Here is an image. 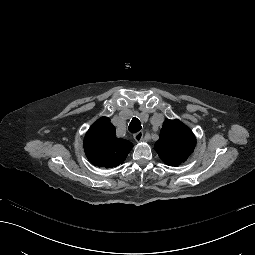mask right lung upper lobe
<instances>
[{
    "label": "right lung upper lobe",
    "instance_id": "1",
    "mask_svg": "<svg viewBox=\"0 0 255 255\" xmlns=\"http://www.w3.org/2000/svg\"><path fill=\"white\" fill-rule=\"evenodd\" d=\"M132 147L130 141L116 136V129L107 117L98 119L84 139L86 156L98 167L118 166L126 159Z\"/></svg>",
    "mask_w": 255,
    "mask_h": 255
}]
</instances>
